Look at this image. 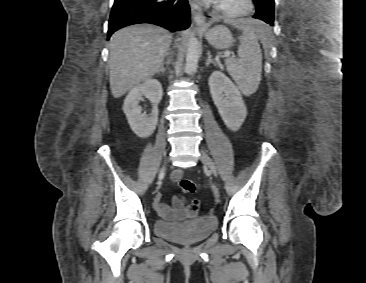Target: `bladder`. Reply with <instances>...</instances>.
I'll return each instance as SVG.
<instances>
[{"label":"bladder","instance_id":"bladder-1","mask_svg":"<svg viewBox=\"0 0 366 283\" xmlns=\"http://www.w3.org/2000/svg\"><path fill=\"white\" fill-rule=\"evenodd\" d=\"M152 229L157 236L166 240L179 244H195L207 238L217 229V219L213 216L183 222L156 219Z\"/></svg>","mask_w":366,"mask_h":283}]
</instances>
